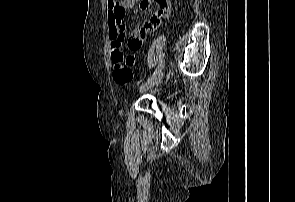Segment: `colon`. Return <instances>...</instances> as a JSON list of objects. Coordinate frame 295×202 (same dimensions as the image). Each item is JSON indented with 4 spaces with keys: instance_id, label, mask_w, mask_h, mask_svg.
<instances>
[{
    "instance_id": "1",
    "label": "colon",
    "mask_w": 295,
    "mask_h": 202,
    "mask_svg": "<svg viewBox=\"0 0 295 202\" xmlns=\"http://www.w3.org/2000/svg\"><path fill=\"white\" fill-rule=\"evenodd\" d=\"M131 57L124 52L118 51L114 54L113 79L119 86L125 87L132 82L133 73L130 69Z\"/></svg>"
}]
</instances>
